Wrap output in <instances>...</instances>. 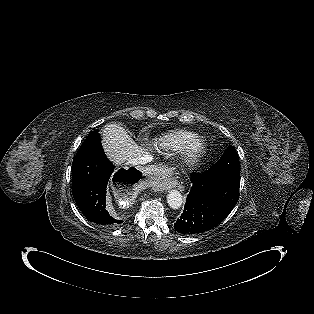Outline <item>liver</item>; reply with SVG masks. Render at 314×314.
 Returning <instances> with one entry per match:
<instances>
[{
    "label": "liver",
    "instance_id": "liver-1",
    "mask_svg": "<svg viewBox=\"0 0 314 314\" xmlns=\"http://www.w3.org/2000/svg\"><path fill=\"white\" fill-rule=\"evenodd\" d=\"M101 137L106 155L116 165L145 153L119 124H107Z\"/></svg>",
    "mask_w": 314,
    "mask_h": 314
}]
</instances>
